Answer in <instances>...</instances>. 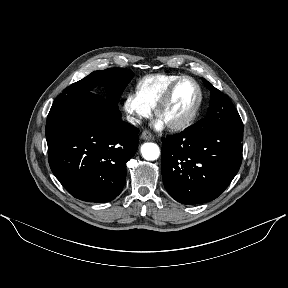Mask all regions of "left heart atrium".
<instances>
[{
    "mask_svg": "<svg viewBox=\"0 0 288 288\" xmlns=\"http://www.w3.org/2000/svg\"><path fill=\"white\" fill-rule=\"evenodd\" d=\"M164 126V122L163 121H158L157 122V128H162Z\"/></svg>",
    "mask_w": 288,
    "mask_h": 288,
    "instance_id": "obj_1",
    "label": "left heart atrium"
}]
</instances>
